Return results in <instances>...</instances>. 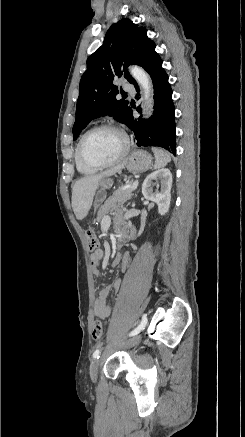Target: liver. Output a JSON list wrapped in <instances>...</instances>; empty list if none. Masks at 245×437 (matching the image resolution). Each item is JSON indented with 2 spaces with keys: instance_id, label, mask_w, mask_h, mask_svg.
<instances>
[{
  "instance_id": "obj_1",
  "label": "liver",
  "mask_w": 245,
  "mask_h": 437,
  "mask_svg": "<svg viewBox=\"0 0 245 437\" xmlns=\"http://www.w3.org/2000/svg\"><path fill=\"white\" fill-rule=\"evenodd\" d=\"M124 165L107 170L99 175L86 176L72 187V208L78 220L84 219L91 209L93 198L102 180L120 171Z\"/></svg>"
}]
</instances>
